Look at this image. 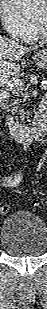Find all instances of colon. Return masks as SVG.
Segmentation results:
<instances>
[{
    "instance_id": "1",
    "label": "colon",
    "mask_w": 47,
    "mask_h": 309,
    "mask_svg": "<svg viewBox=\"0 0 47 309\" xmlns=\"http://www.w3.org/2000/svg\"><path fill=\"white\" fill-rule=\"evenodd\" d=\"M37 205H38V204L35 203V206H37ZM9 210H10V208H9L8 206H6V205H4V206H2V207L0 208V212H1V214H3V215L7 214V213L9 212Z\"/></svg>"
}]
</instances>
